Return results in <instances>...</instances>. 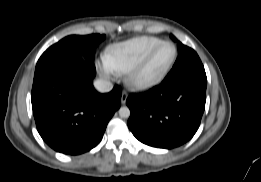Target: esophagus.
<instances>
[{"label":"esophagus","mask_w":261,"mask_h":182,"mask_svg":"<svg viewBox=\"0 0 261 182\" xmlns=\"http://www.w3.org/2000/svg\"><path fill=\"white\" fill-rule=\"evenodd\" d=\"M127 97H128V93L126 91H123L122 95H121V103L122 104L126 103Z\"/></svg>","instance_id":"esophagus-1"}]
</instances>
